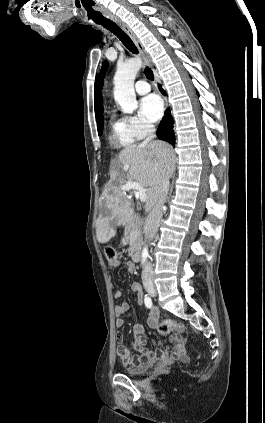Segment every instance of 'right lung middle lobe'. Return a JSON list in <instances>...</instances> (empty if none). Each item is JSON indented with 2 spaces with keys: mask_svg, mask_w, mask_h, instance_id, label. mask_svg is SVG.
<instances>
[{
  "mask_svg": "<svg viewBox=\"0 0 265 423\" xmlns=\"http://www.w3.org/2000/svg\"><path fill=\"white\" fill-rule=\"evenodd\" d=\"M97 129H98V134L101 135L102 131H103V119H102V117L97 121Z\"/></svg>",
  "mask_w": 265,
  "mask_h": 423,
  "instance_id": "1",
  "label": "right lung middle lobe"
}]
</instances>
